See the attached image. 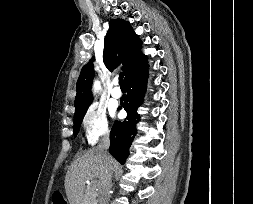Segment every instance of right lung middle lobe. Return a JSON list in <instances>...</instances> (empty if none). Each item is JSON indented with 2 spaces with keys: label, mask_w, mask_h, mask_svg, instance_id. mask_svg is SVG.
Instances as JSON below:
<instances>
[{
  "label": "right lung middle lobe",
  "mask_w": 253,
  "mask_h": 204,
  "mask_svg": "<svg viewBox=\"0 0 253 204\" xmlns=\"http://www.w3.org/2000/svg\"><path fill=\"white\" fill-rule=\"evenodd\" d=\"M88 107L82 111H80L78 114L74 115V135L76 136L79 132L81 122L83 120V117L87 111Z\"/></svg>",
  "instance_id": "right-lung-middle-lobe-1"
}]
</instances>
